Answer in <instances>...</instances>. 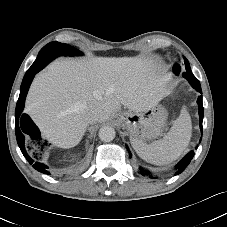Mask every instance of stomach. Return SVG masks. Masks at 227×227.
Masks as SVG:
<instances>
[{"mask_svg":"<svg viewBox=\"0 0 227 227\" xmlns=\"http://www.w3.org/2000/svg\"><path fill=\"white\" fill-rule=\"evenodd\" d=\"M167 114L163 106L156 105L145 112H124L122 123L131 138L144 142L162 135Z\"/></svg>","mask_w":227,"mask_h":227,"instance_id":"1","label":"stomach"}]
</instances>
